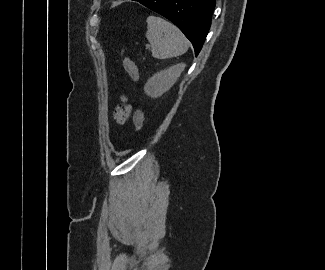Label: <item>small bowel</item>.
<instances>
[{"label":"small bowel","instance_id":"small-bowel-1","mask_svg":"<svg viewBox=\"0 0 325 270\" xmlns=\"http://www.w3.org/2000/svg\"><path fill=\"white\" fill-rule=\"evenodd\" d=\"M132 107L129 104L123 103L115 109V119L118 123H124L131 115Z\"/></svg>","mask_w":325,"mask_h":270}]
</instances>
